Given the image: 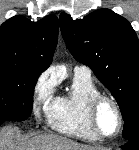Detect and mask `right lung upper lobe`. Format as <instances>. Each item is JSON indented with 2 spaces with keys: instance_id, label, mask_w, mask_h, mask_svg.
Masks as SVG:
<instances>
[{
  "instance_id": "cb5924a9",
  "label": "right lung upper lobe",
  "mask_w": 139,
  "mask_h": 150,
  "mask_svg": "<svg viewBox=\"0 0 139 150\" xmlns=\"http://www.w3.org/2000/svg\"><path fill=\"white\" fill-rule=\"evenodd\" d=\"M58 40V19L48 15L37 22L17 15L0 26V65L47 69Z\"/></svg>"
}]
</instances>
